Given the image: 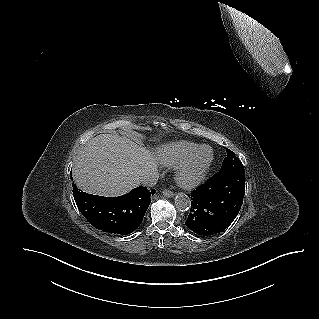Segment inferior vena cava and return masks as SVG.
<instances>
[{
  "label": "inferior vena cava",
  "instance_id": "1",
  "mask_svg": "<svg viewBox=\"0 0 319 319\" xmlns=\"http://www.w3.org/2000/svg\"><path fill=\"white\" fill-rule=\"evenodd\" d=\"M159 175L156 170L149 171L142 175L140 183L144 186L153 187L158 181Z\"/></svg>",
  "mask_w": 319,
  "mask_h": 319
}]
</instances>
